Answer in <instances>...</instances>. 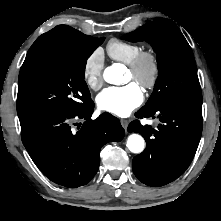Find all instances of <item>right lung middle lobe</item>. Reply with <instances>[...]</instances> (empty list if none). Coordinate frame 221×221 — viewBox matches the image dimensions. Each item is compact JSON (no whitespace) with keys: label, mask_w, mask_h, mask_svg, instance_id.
Listing matches in <instances>:
<instances>
[{"label":"right lung middle lobe","mask_w":221,"mask_h":221,"mask_svg":"<svg viewBox=\"0 0 221 221\" xmlns=\"http://www.w3.org/2000/svg\"><path fill=\"white\" fill-rule=\"evenodd\" d=\"M105 37L47 50L21 68L17 113L20 122L35 116L76 112L90 101L84 81L87 59Z\"/></svg>","instance_id":"dd1d6c3e"}]
</instances>
